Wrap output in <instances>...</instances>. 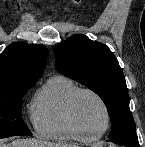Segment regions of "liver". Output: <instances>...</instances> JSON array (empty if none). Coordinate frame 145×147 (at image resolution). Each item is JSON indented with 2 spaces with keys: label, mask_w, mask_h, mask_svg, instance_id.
<instances>
[{
  "label": "liver",
  "mask_w": 145,
  "mask_h": 147,
  "mask_svg": "<svg viewBox=\"0 0 145 147\" xmlns=\"http://www.w3.org/2000/svg\"><path fill=\"white\" fill-rule=\"evenodd\" d=\"M0 147H77L75 144L52 143L36 139H17Z\"/></svg>",
  "instance_id": "liver-1"
}]
</instances>
